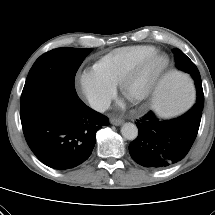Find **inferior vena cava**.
Segmentation results:
<instances>
[{
	"label": "inferior vena cava",
	"mask_w": 215,
	"mask_h": 215,
	"mask_svg": "<svg viewBox=\"0 0 215 215\" xmlns=\"http://www.w3.org/2000/svg\"><path fill=\"white\" fill-rule=\"evenodd\" d=\"M110 104V99H97L92 102L91 106L98 112H104L109 108Z\"/></svg>",
	"instance_id": "inferior-vena-cava-1"
}]
</instances>
